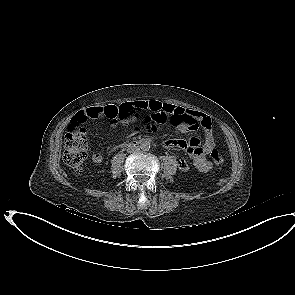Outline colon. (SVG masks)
Listing matches in <instances>:
<instances>
[{
  "instance_id": "5ec220e1",
  "label": "colon",
  "mask_w": 295,
  "mask_h": 295,
  "mask_svg": "<svg viewBox=\"0 0 295 295\" xmlns=\"http://www.w3.org/2000/svg\"><path fill=\"white\" fill-rule=\"evenodd\" d=\"M135 114V110L128 105L104 106L103 115L112 123L124 126ZM165 116L152 115V120L156 123L162 122ZM146 119L145 123H148ZM80 125H70L65 134L63 160L65 164L74 172L80 173L83 170L84 161L87 156V137L84 128ZM149 131L155 130V125H146ZM210 157L214 164L222 165L225 161L224 156L216 149L212 150Z\"/></svg>"
}]
</instances>
